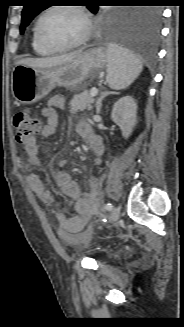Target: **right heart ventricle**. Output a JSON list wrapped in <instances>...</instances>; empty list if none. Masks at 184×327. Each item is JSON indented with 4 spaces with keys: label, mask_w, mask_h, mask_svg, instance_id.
<instances>
[{
    "label": "right heart ventricle",
    "mask_w": 184,
    "mask_h": 327,
    "mask_svg": "<svg viewBox=\"0 0 184 327\" xmlns=\"http://www.w3.org/2000/svg\"><path fill=\"white\" fill-rule=\"evenodd\" d=\"M31 45L32 48L34 50V52L38 55L41 56H48V55H52L54 53V51H51L47 48H45L37 39L36 37V33H35V27L32 31V39H31Z\"/></svg>",
    "instance_id": "e07e8e85"
}]
</instances>
